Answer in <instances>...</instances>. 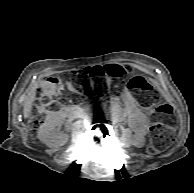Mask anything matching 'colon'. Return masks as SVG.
<instances>
[{
	"instance_id": "obj_1",
	"label": "colon",
	"mask_w": 194,
	"mask_h": 193,
	"mask_svg": "<svg viewBox=\"0 0 194 193\" xmlns=\"http://www.w3.org/2000/svg\"><path fill=\"white\" fill-rule=\"evenodd\" d=\"M130 67L119 64L87 67L82 74L100 83L104 78L112 79L116 84L130 73ZM76 72L67 73L62 77H47L39 87L35 113L30 120V131L35 134L46 116L58 109L62 104H67L71 98ZM129 90L140 96L142 105L148 108L155 121L151 128L152 142L150 152L162 151L175 141L176 128L172 124V108L161 103V98L155 87L141 76L132 77L127 84ZM68 88V89H67Z\"/></svg>"
}]
</instances>
